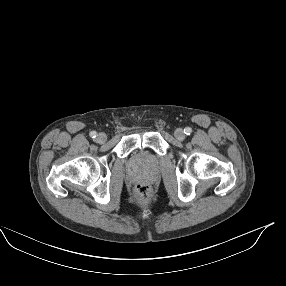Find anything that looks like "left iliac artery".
<instances>
[{
    "mask_svg": "<svg viewBox=\"0 0 286 286\" xmlns=\"http://www.w3.org/2000/svg\"><path fill=\"white\" fill-rule=\"evenodd\" d=\"M184 133L187 134V135H190L192 133V129L190 127H186L184 129Z\"/></svg>",
    "mask_w": 286,
    "mask_h": 286,
    "instance_id": "obj_1",
    "label": "left iliac artery"
}]
</instances>
